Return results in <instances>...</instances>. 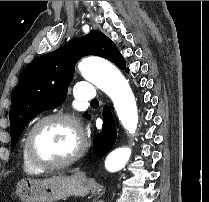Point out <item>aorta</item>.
<instances>
[{"instance_id": "1", "label": "aorta", "mask_w": 209, "mask_h": 202, "mask_svg": "<svg viewBox=\"0 0 209 202\" xmlns=\"http://www.w3.org/2000/svg\"><path fill=\"white\" fill-rule=\"evenodd\" d=\"M82 76L104 91L112 100L123 127L133 134L138 124V110L128 81L113 64L95 58H85L78 64ZM131 155L129 147H120L109 153L105 160L108 171L125 167Z\"/></svg>"}]
</instances>
